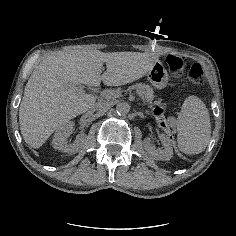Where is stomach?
<instances>
[{
    "label": "stomach",
    "instance_id": "0dacf381",
    "mask_svg": "<svg viewBox=\"0 0 236 236\" xmlns=\"http://www.w3.org/2000/svg\"><path fill=\"white\" fill-rule=\"evenodd\" d=\"M148 80L157 89L166 87L168 83V73L162 64L157 63L148 74Z\"/></svg>",
    "mask_w": 236,
    "mask_h": 236
}]
</instances>
